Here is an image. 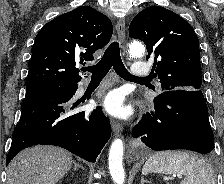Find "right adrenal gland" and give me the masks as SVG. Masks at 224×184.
Masks as SVG:
<instances>
[{
	"instance_id": "2a0ac1e0",
	"label": "right adrenal gland",
	"mask_w": 224,
	"mask_h": 184,
	"mask_svg": "<svg viewBox=\"0 0 224 184\" xmlns=\"http://www.w3.org/2000/svg\"><path fill=\"white\" fill-rule=\"evenodd\" d=\"M74 165H75V167H74V171H75L77 168H81V169L84 170V167L81 166L80 164L76 163L75 161H74Z\"/></svg>"
}]
</instances>
